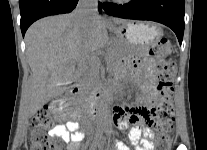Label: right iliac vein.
Listing matches in <instances>:
<instances>
[{
    "label": "right iliac vein",
    "mask_w": 207,
    "mask_h": 150,
    "mask_svg": "<svg viewBox=\"0 0 207 150\" xmlns=\"http://www.w3.org/2000/svg\"><path fill=\"white\" fill-rule=\"evenodd\" d=\"M91 150H94V146H92Z\"/></svg>",
    "instance_id": "right-iliac-vein-1"
}]
</instances>
